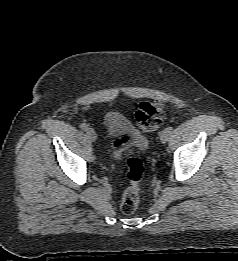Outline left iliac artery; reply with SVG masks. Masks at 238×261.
Masks as SVG:
<instances>
[{
    "mask_svg": "<svg viewBox=\"0 0 238 261\" xmlns=\"http://www.w3.org/2000/svg\"><path fill=\"white\" fill-rule=\"evenodd\" d=\"M168 129H169L170 132L173 131V127L172 126L168 127Z\"/></svg>",
    "mask_w": 238,
    "mask_h": 261,
    "instance_id": "left-iliac-artery-1",
    "label": "left iliac artery"
}]
</instances>
